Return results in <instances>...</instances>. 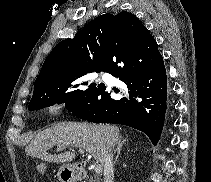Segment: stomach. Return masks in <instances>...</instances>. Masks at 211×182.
I'll list each match as a JSON object with an SVG mask.
<instances>
[{"label": "stomach", "mask_w": 211, "mask_h": 182, "mask_svg": "<svg viewBox=\"0 0 211 182\" xmlns=\"http://www.w3.org/2000/svg\"><path fill=\"white\" fill-rule=\"evenodd\" d=\"M78 173L70 164H64L58 171V179L60 182H76Z\"/></svg>", "instance_id": "stomach-1"}]
</instances>
